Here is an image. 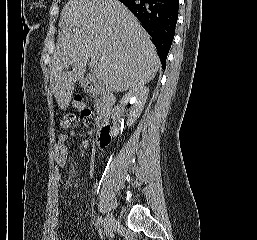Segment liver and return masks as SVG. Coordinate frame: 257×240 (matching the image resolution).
Returning <instances> with one entry per match:
<instances>
[{"instance_id":"liver-1","label":"liver","mask_w":257,"mask_h":240,"mask_svg":"<svg viewBox=\"0 0 257 240\" xmlns=\"http://www.w3.org/2000/svg\"><path fill=\"white\" fill-rule=\"evenodd\" d=\"M59 27L50 75L54 96L63 110L90 58L99 63L100 80L113 92L147 84L159 69L149 35L118 0H70L62 9ZM69 65L72 71H65Z\"/></svg>"}]
</instances>
